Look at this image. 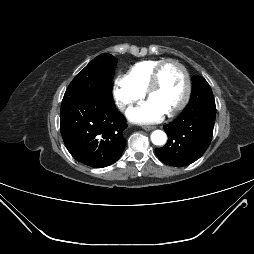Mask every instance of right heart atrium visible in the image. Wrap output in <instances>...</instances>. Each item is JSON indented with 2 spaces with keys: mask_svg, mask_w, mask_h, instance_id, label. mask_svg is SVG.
Returning a JSON list of instances; mask_svg holds the SVG:
<instances>
[{
  "mask_svg": "<svg viewBox=\"0 0 254 254\" xmlns=\"http://www.w3.org/2000/svg\"><path fill=\"white\" fill-rule=\"evenodd\" d=\"M113 96L117 106L124 110L144 97V92L138 89L127 75H118L113 86Z\"/></svg>",
  "mask_w": 254,
  "mask_h": 254,
  "instance_id": "1",
  "label": "right heart atrium"
}]
</instances>
